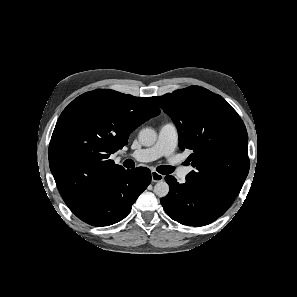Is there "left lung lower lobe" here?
I'll use <instances>...</instances> for the list:
<instances>
[{
    "label": "left lung lower lobe",
    "instance_id": "0a47b994",
    "mask_svg": "<svg viewBox=\"0 0 297 297\" xmlns=\"http://www.w3.org/2000/svg\"><path fill=\"white\" fill-rule=\"evenodd\" d=\"M169 193L161 199V204L170 218L194 227L212 223L222 216L224 208L205 194L196 190L188 182L179 184L173 176H166Z\"/></svg>",
    "mask_w": 297,
    "mask_h": 297
}]
</instances>
